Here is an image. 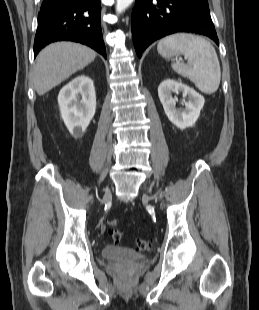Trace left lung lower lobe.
Listing matches in <instances>:
<instances>
[{"mask_svg":"<svg viewBox=\"0 0 259 310\" xmlns=\"http://www.w3.org/2000/svg\"><path fill=\"white\" fill-rule=\"evenodd\" d=\"M131 19L139 58L151 43L175 32L202 34L219 44L207 0H135Z\"/></svg>","mask_w":259,"mask_h":310,"instance_id":"1","label":"left lung lower lobe"}]
</instances>
